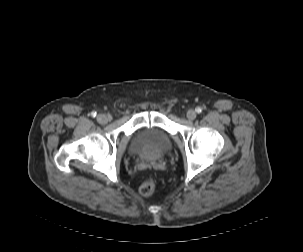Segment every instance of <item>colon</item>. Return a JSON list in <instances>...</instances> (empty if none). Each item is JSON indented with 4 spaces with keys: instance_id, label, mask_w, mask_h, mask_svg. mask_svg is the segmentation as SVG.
Listing matches in <instances>:
<instances>
[{
    "instance_id": "obj_1",
    "label": "colon",
    "mask_w": 303,
    "mask_h": 252,
    "mask_svg": "<svg viewBox=\"0 0 303 252\" xmlns=\"http://www.w3.org/2000/svg\"><path fill=\"white\" fill-rule=\"evenodd\" d=\"M156 180L152 177L146 179L140 186V193L144 196H150L156 189Z\"/></svg>"
}]
</instances>
